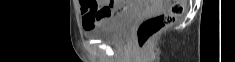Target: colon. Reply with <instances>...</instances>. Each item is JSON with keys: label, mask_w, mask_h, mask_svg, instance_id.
<instances>
[{"label": "colon", "mask_w": 235, "mask_h": 62, "mask_svg": "<svg viewBox=\"0 0 235 62\" xmlns=\"http://www.w3.org/2000/svg\"><path fill=\"white\" fill-rule=\"evenodd\" d=\"M185 6V0H170V6L166 11L144 19L136 29L139 47H144L160 30L173 24L184 13Z\"/></svg>", "instance_id": "colon-1"}]
</instances>
